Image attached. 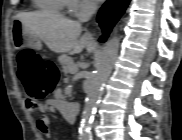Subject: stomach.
<instances>
[{"instance_id":"0dacf381","label":"stomach","mask_w":182,"mask_h":140,"mask_svg":"<svg viewBox=\"0 0 182 140\" xmlns=\"http://www.w3.org/2000/svg\"><path fill=\"white\" fill-rule=\"evenodd\" d=\"M12 39L14 46L18 48L30 47L38 49L41 46L40 38L36 36L35 31H27L26 25L20 20L12 22Z\"/></svg>"}]
</instances>
